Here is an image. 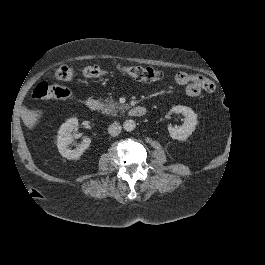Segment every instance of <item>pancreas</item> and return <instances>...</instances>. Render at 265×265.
Segmentation results:
<instances>
[{
	"instance_id": "1",
	"label": "pancreas",
	"mask_w": 265,
	"mask_h": 265,
	"mask_svg": "<svg viewBox=\"0 0 265 265\" xmlns=\"http://www.w3.org/2000/svg\"><path fill=\"white\" fill-rule=\"evenodd\" d=\"M126 109H128L127 106H124L118 102L113 101L112 98H108L105 100V107L102 112L107 115L117 116L118 111L123 112Z\"/></svg>"
}]
</instances>
